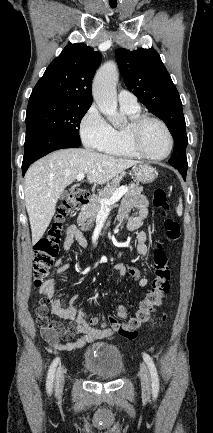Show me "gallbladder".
I'll return each instance as SVG.
<instances>
[{"instance_id": "bac80fb5", "label": "gallbladder", "mask_w": 213, "mask_h": 433, "mask_svg": "<svg viewBox=\"0 0 213 433\" xmlns=\"http://www.w3.org/2000/svg\"><path fill=\"white\" fill-rule=\"evenodd\" d=\"M67 197H68V191H63L60 195V199H62V200L67 198Z\"/></svg>"}]
</instances>
